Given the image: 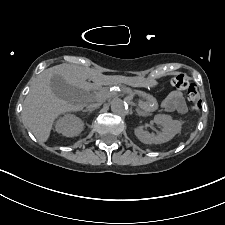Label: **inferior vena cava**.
<instances>
[{"label":"inferior vena cava","instance_id":"obj_1","mask_svg":"<svg viewBox=\"0 0 225 225\" xmlns=\"http://www.w3.org/2000/svg\"><path fill=\"white\" fill-rule=\"evenodd\" d=\"M104 98L102 96H97L94 100V103H91L87 106V109H96L102 105Z\"/></svg>","mask_w":225,"mask_h":225}]
</instances>
